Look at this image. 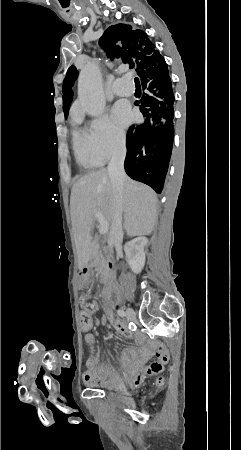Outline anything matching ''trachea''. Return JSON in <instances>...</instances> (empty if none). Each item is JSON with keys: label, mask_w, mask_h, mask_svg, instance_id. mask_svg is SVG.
I'll list each match as a JSON object with an SVG mask.
<instances>
[{"label": "trachea", "mask_w": 241, "mask_h": 450, "mask_svg": "<svg viewBox=\"0 0 241 450\" xmlns=\"http://www.w3.org/2000/svg\"><path fill=\"white\" fill-rule=\"evenodd\" d=\"M134 82H135V85H140V83H139V78H135V79H134Z\"/></svg>", "instance_id": "1"}]
</instances>
